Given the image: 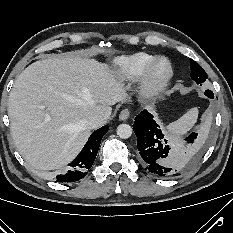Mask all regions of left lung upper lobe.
<instances>
[{"mask_svg": "<svg viewBox=\"0 0 233 233\" xmlns=\"http://www.w3.org/2000/svg\"><path fill=\"white\" fill-rule=\"evenodd\" d=\"M191 78L197 83L202 85V83L208 78L204 69L191 59Z\"/></svg>", "mask_w": 233, "mask_h": 233, "instance_id": "1", "label": "left lung upper lobe"}]
</instances>
